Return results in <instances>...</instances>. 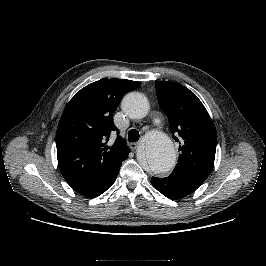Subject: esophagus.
<instances>
[{
  "label": "esophagus",
  "instance_id": "1",
  "mask_svg": "<svg viewBox=\"0 0 266 266\" xmlns=\"http://www.w3.org/2000/svg\"><path fill=\"white\" fill-rule=\"evenodd\" d=\"M137 146H138V143H137V142H131V143L129 144V147H130V149H131L132 151H134V150L137 148Z\"/></svg>",
  "mask_w": 266,
  "mask_h": 266
}]
</instances>
